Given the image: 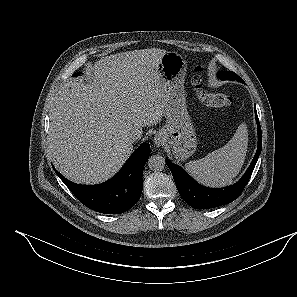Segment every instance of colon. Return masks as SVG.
Segmentation results:
<instances>
[{
    "label": "colon",
    "mask_w": 297,
    "mask_h": 297,
    "mask_svg": "<svg viewBox=\"0 0 297 297\" xmlns=\"http://www.w3.org/2000/svg\"><path fill=\"white\" fill-rule=\"evenodd\" d=\"M201 70H198L192 79V85L200 102L209 108H228L232 106L233 100L226 94L209 93L201 88Z\"/></svg>",
    "instance_id": "5ec220e1"
}]
</instances>
